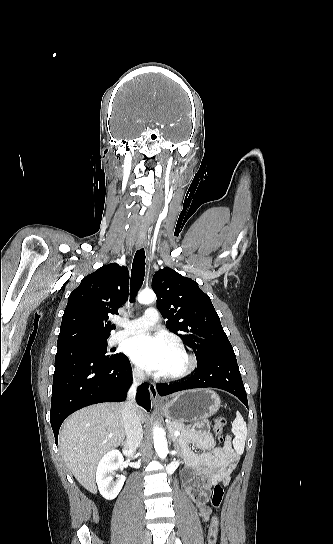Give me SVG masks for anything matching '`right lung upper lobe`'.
Here are the masks:
<instances>
[{
  "instance_id": "1",
  "label": "right lung upper lobe",
  "mask_w": 333,
  "mask_h": 544,
  "mask_svg": "<svg viewBox=\"0 0 333 544\" xmlns=\"http://www.w3.org/2000/svg\"><path fill=\"white\" fill-rule=\"evenodd\" d=\"M129 272L116 263L87 275L71 292L65 308L57 348L94 340H107L114 325L109 315L128 297Z\"/></svg>"
}]
</instances>
